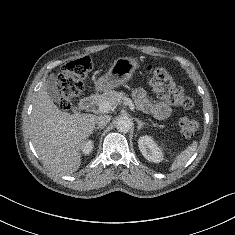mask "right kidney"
I'll use <instances>...</instances> for the list:
<instances>
[{"label":"right kidney","instance_id":"1","mask_svg":"<svg viewBox=\"0 0 235 235\" xmlns=\"http://www.w3.org/2000/svg\"><path fill=\"white\" fill-rule=\"evenodd\" d=\"M93 141L89 140V141H86L83 145H82V152L85 154V155H88L91 153L92 149H93Z\"/></svg>","mask_w":235,"mask_h":235}]
</instances>
